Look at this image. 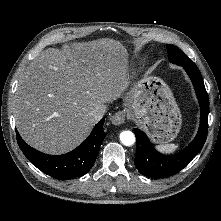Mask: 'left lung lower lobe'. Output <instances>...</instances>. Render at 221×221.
<instances>
[{
    "instance_id": "obj_1",
    "label": "left lung lower lobe",
    "mask_w": 221,
    "mask_h": 221,
    "mask_svg": "<svg viewBox=\"0 0 221 221\" xmlns=\"http://www.w3.org/2000/svg\"><path fill=\"white\" fill-rule=\"evenodd\" d=\"M183 68L192 80L201 108L198 133L192 143L184 150L175 155L165 156L153 148L143 131L134 129L137 143L134 163L139 172L145 176L162 178L178 173L200 152L206 141L209 100L204 82L194 62L190 65H183Z\"/></svg>"
}]
</instances>
